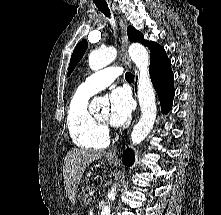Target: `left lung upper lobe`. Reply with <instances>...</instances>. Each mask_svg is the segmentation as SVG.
Here are the masks:
<instances>
[{"mask_svg":"<svg viewBox=\"0 0 221 215\" xmlns=\"http://www.w3.org/2000/svg\"><path fill=\"white\" fill-rule=\"evenodd\" d=\"M128 33V38L132 42H140L147 46L149 50L151 51V54L155 51V49L159 46V44L152 42V41H147L144 39V36L141 32L137 31L134 27L129 26L127 29ZM87 41L83 40L81 41L76 48L74 49L71 59H70V64L68 68V76L71 74V72L74 70L78 62L81 60L83 57L86 49H87Z\"/></svg>","mask_w":221,"mask_h":215,"instance_id":"obj_1","label":"left lung upper lobe"}]
</instances>
